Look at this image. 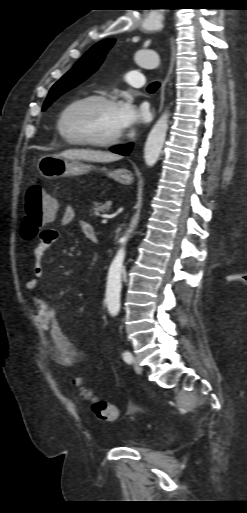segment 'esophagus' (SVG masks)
<instances>
[{
    "instance_id": "1",
    "label": "esophagus",
    "mask_w": 247,
    "mask_h": 513,
    "mask_svg": "<svg viewBox=\"0 0 247 513\" xmlns=\"http://www.w3.org/2000/svg\"><path fill=\"white\" fill-rule=\"evenodd\" d=\"M170 47H171V56H170V65H169V69L167 71V74L161 84V87H160V103H159V112L162 110L163 108V105H164V101H165V88H166V85L170 79V76H171V73L173 71V68H174V65H175V62H176V55H177V49H176V42L174 40V37L171 36L170 38ZM155 112V109H153V113Z\"/></svg>"
}]
</instances>
